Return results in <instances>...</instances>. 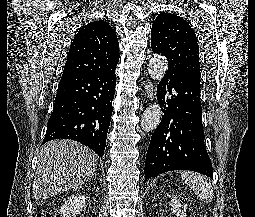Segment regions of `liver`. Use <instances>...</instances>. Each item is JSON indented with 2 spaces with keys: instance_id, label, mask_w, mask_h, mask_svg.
Returning a JSON list of instances; mask_svg holds the SVG:
<instances>
[{
  "instance_id": "obj_1",
  "label": "liver",
  "mask_w": 255,
  "mask_h": 217,
  "mask_svg": "<svg viewBox=\"0 0 255 217\" xmlns=\"http://www.w3.org/2000/svg\"><path fill=\"white\" fill-rule=\"evenodd\" d=\"M97 170V156L71 140H52L38 153L33 181L35 199L47 198L82 185Z\"/></svg>"
}]
</instances>
